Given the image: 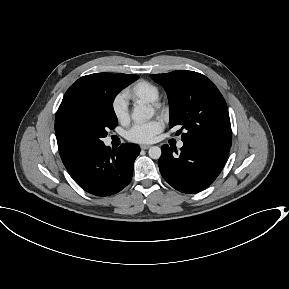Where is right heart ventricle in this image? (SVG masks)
<instances>
[{"mask_svg": "<svg viewBox=\"0 0 289 289\" xmlns=\"http://www.w3.org/2000/svg\"><path fill=\"white\" fill-rule=\"evenodd\" d=\"M123 96L135 103L151 104L159 99V87L147 80H140L127 88Z\"/></svg>", "mask_w": 289, "mask_h": 289, "instance_id": "right-heart-ventricle-1", "label": "right heart ventricle"}]
</instances>
